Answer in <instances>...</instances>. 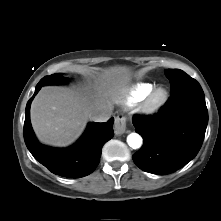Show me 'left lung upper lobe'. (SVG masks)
<instances>
[{
	"label": "left lung upper lobe",
	"mask_w": 221,
	"mask_h": 221,
	"mask_svg": "<svg viewBox=\"0 0 221 221\" xmlns=\"http://www.w3.org/2000/svg\"><path fill=\"white\" fill-rule=\"evenodd\" d=\"M164 72L167 78L170 80V93H173L184 86L198 83L195 79L191 78L184 71L179 69H168Z\"/></svg>",
	"instance_id": "5c2ea615"
}]
</instances>
